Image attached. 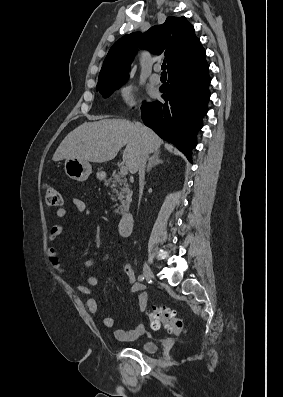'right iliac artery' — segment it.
I'll return each mask as SVG.
<instances>
[{
    "instance_id": "obj_1",
    "label": "right iliac artery",
    "mask_w": 283,
    "mask_h": 397,
    "mask_svg": "<svg viewBox=\"0 0 283 397\" xmlns=\"http://www.w3.org/2000/svg\"><path fill=\"white\" fill-rule=\"evenodd\" d=\"M144 279H145L144 275H142V274L139 275V277H138V280H139V281H143Z\"/></svg>"
}]
</instances>
